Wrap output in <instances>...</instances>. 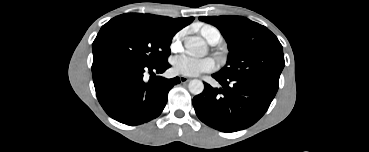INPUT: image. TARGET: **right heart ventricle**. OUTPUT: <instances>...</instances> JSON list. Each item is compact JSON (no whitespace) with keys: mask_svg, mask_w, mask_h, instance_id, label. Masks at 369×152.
Segmentation results:
<instances>
[{"mask_svg":"<svg viewBox=\"0 0 369 152\" xmlns=\"http://www.w3.org/2000/svg\"><path fill=\"white\" fill-rule=\"evenodd\" d=\"M212 28V26L210 25H204L201 30H200V33L201 35L207 40V31L208 29Z\"/></svg>","mask_w":369,"mask_h":152,"instance_id":"e07e8e85","label":"right heart ventricle"}]
</instances>
